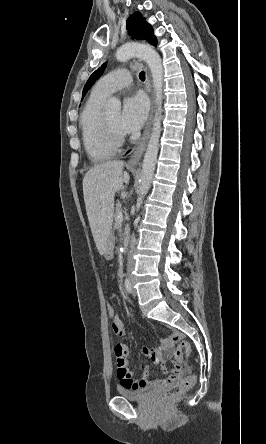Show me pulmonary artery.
Segmentation results:
<instances>
[{"label":"pulmonary artery","instance_id":"pulmonary-artery-1","mask_svg":"<svg viewBox=\"0 0 266 444\" xmlns=\"http://www.w3.org/2000/svg\"><path fill=\"white\" fill-rule=\"evenodd\" d=\"M132 82V73L125 68H119L104 75L95 85L93 92L103 96L129 86Z\"/></svg>","mask_w":266,"mask_h":444}]
</instances>
